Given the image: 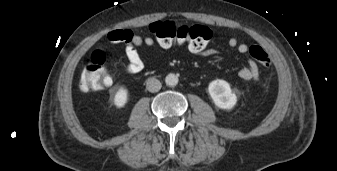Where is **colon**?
Here are the masks:
<instances>
[{
    "instance_id": "1",
    "label": "colon",
    "mask_w": 337,
    "mask_h": 171,
    "mask_svg": "<svg viewBox=\"0 0 337 171\" xmlns=\"http://www.w3.org/2000/svg\"><path fill=\"white\" fill-rule=\"evenodd\" d=\"M160 49L170 53L180 45H187L193 52H200L212 37V31L205 25H180L173 21H156L150 27ZM250 56L262 67L268 68L270 59L259 45L249 47ZM107 57L101 50H95L80 75L79 86L84 92L99 91L112 83L113 74L107 69Z\"/></svg>"
}]
</instances>
